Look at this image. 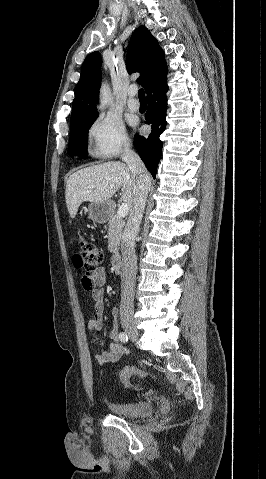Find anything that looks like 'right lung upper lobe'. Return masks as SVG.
I'll return each instance as SVG.
<instances>
[{
    "instance_id": "right-lung-upper-lobe-1",
    "label": "right lung upper lobe",
    "mask_w": 266,
    "mask_h": 479,
    "mask_svg": "<svg viewBox=\"0 0 266 479\" xmlns=\"http://www.w3.org/2000/svg\"><path fill=\"white\" fill-rule=\"evenodd\" d=\"M101 55L98 51L89 54L83 63L80 80L75 89L71 123L98 115L96 100L99 98ZM129 74L140 72L137 82L146 93L166 80L167 66L164 52L150 31L140 26L131 36L127 55Z\"/></svg>"
}]
</instances>
